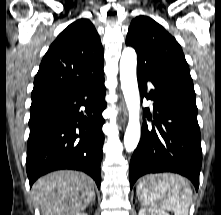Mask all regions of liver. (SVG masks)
Returning a JSON list of instances; mask_svg holds the SVG:
<instances>
[{"mask_svg": "<svg viewBox=\"0 0 221 215\" xmlns=\"http://www.w3.org/2000/svg\"><path fill=\"white\" fill-rule=\"evenodd\" d=\"M32 193L41 215H76L94 200V181L83 172L60 170L38 179Z\"/></svg>", "mask_w": 221, "mask_h": 215, "instance_id": "liver-1", "label": "liver"}]
</instances>
